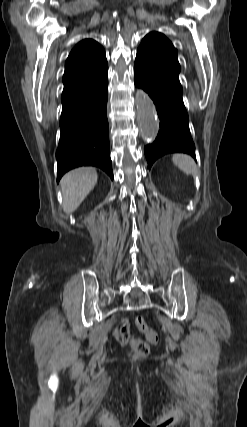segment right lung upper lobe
<instances>
[{
  "instance_id": "obj_1",
  "label": "right lung upper lobe",
  "mask_w": 247,
  "mask_h": 427,
  "mask_svg": "<svg viewBox=\"0 0 247 427\" xmlns=\"http://www.w3.org/2000/svg\"><path fill=\"white\" fill-rule=\"evenodd\" d=\"M108 70L105 51L92 39L80 41L69 54L63 75L64 90L84 84Z\"/></svg>"
}]
</instances>
